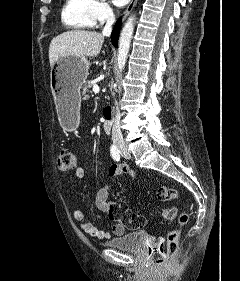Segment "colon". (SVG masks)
<instances>
[{"instance_id": "1", "label": "colon", "mask_w": 240, "mask_h": 281, "mask_svg": "<svg viewBox=\"0 0 240 281\" xmlns=\"http://www.w3.org/2000/svg\"><path fill=\"white\" fill-rule=\"evenodd\" d=\"M76 167L77 157L74 152L70 149H62L57 157V168L62 172H68ZM157 197L161 201H171L178 197V192L172 187L162 185L157 190ZM158 213L165 220L172 221L176 218L178 211L175 207H171L162 208ZM107 216L110 220L119 222L129 229H140L147 223L144 216L130 212L127 205L121 201L109 203ZM188 219V212L183 210L179 216L178 226L170 230L166 240L158 243L154 248V262L158 267L164 268L170 264L179 248L182 227L188 222Z\"/></svg>"}]
</instances>
